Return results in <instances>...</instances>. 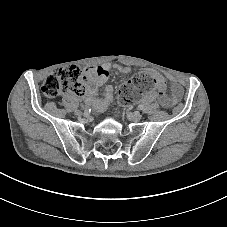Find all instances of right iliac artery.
I'll use <instances>...</instances> for the list:
<instances>
[{
	"label": "right iliac artery",
	"instance_id": "1",
	"mask_svg": "<svg viewBox=\"0 0 227 227\" xmlns=\"http://www.w3.org/2000/svg\"><path fill=\"white\" fill-rule=\"evenodd\" d=\"M82 114H83L84 117H89L90 114H91L90 108H85V109L82 111Z\"/></svg>",
	"mask_w": 227,
	"mask_h": 227
}]
</instances>
